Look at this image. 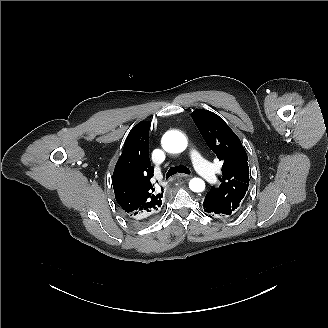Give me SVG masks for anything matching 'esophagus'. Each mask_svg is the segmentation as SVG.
Returning <instances> with one entry per match:
<instances>
[{
    "mask_svg": "<svg viewBox=\"0 0 328 328\" xmlns=\"http://www.w3.org/2000/svg\"><path fill=\"white\" fill-rule=\"evenodd\" d=\"M175 177L181 178V177H189L187 174H177Z\"/></svg>",
    "mask_w": 328,
    "mask_h": 328,
    "instance_id": "34e87169",
    "label": "esophagus"
}]
</instances>
